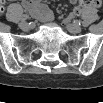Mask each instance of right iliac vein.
<instances>
[{"label": "right iliac vein", "mask_w": 103, "mask_h": 103, "mask_svg": "<svg viewBox=\"0 0 103 103\" xmlns=\"http://www.w3.org/2000/svg\"><path fill=\"white\" fill-rule=\"evenodd\" d=\"M19 27L23 30L27 29L29 27V24L26 21H22L19 23Z\"/></svg>", "instance_id": "63e3f726"}]
</instances>
